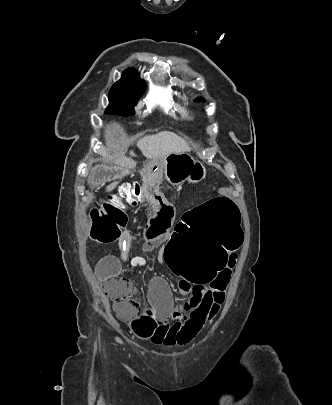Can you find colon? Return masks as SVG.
<instances>
[{
  "label": "colon",
  "instance_id": "1",
  "mask_svg": "<svg viewBox=\"0 0 332 405\" xmlns=\"http://www.w3.org/2000/svg\"><path fill=\"white\" fill-rule=\"evenodd\" d=\"M143 186L123 183L102 198L110 204H100L90 212V237L99 243L116 241L127 224L130 206L142 208ZM151 210V205H146ZM187 220H178L174 234L166 240L163 267L169 275H179L180 281H191L192 287H207L210 281V300L205 311L206 322L219 312L226 299L234 257L242 248L243 234L237 202L231 197H208V202L191 205ZM215 275V276H214ZM103 288L115 305L117 315L135 318L140 298L135 284L128 278L112 275Z\"/></svg>",
  "mask_w": 332,
  "mask_h": 405
}]
</instances>
